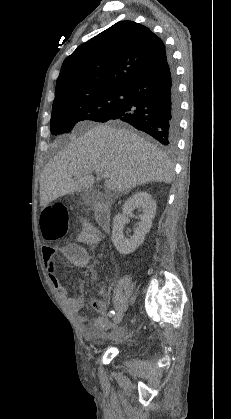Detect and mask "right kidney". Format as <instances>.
I'll return each mask as SVG.
<instances>
[{"instance_id": "obj_1", "label": "right kidney", "mask_w": 231, "mask_h": 419, "mask_svg": "<svg viewBox=\"0 0 231 419\" xmlns=\"http://www.w3.org/2000/svg\"><path fill=\"white\" fill-rule=\"evenodd\" d=\"M141 209L139 226L130 238H125L123 229L125 217L132 213L134 209ZM156 213V202L147 192H137L129 197L123 205V213L117 214L113 218L112 242L120 254L127 255L135 251L140 246L145 235L150 231L152 220Z\"/></svg>"}]
</instances>
